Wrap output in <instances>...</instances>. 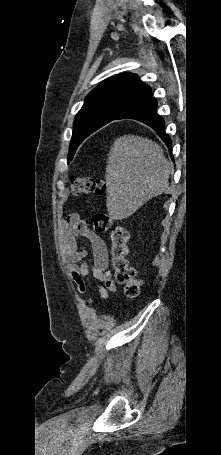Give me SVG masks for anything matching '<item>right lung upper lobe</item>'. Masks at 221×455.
I'll return each mask as SVG.
<instances>
[{
	"instance_id": "1",
	"label": "right lung upper lobe",
	"mask_w": 221,
	"mask_h": 455,
	"mask_svg": "<svg viewBox=\"0 0 221 455\" xmlns=\"http://www.w3.org/2000/svg\"><path fill=\"white\" fill-rule=\"evenodd\" d=\"M150 95V87L142 83L137 75L122 73L100 83L88 94L83 106L109 104L126 111Z\"/></svg>"
}]
</instances>
